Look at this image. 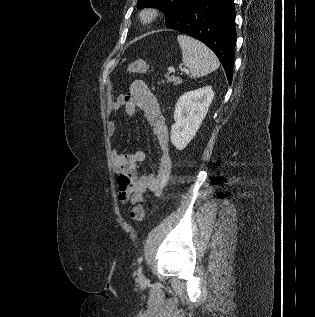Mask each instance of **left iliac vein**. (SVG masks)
Segmentation results:
<instances>
[{
    "label": "left iliac vein",
    "instance_id": "1",
    "mask_svg": "<svg viewBox=\"0 0 315 317\" xmlns=\"http://www.w3.org/2000/svg\"><path fill=\"white\" fill-rule=\"evenodd\" d=\"M140 279H144V275L143 274H140Z\"/></svg>",
    "mask_w": 315,
    "mask_h": 317
}]
</instances>
